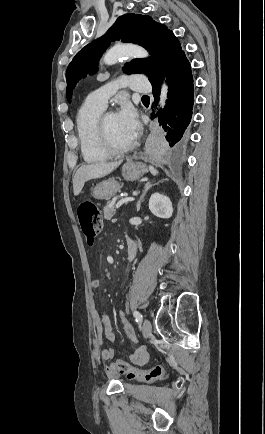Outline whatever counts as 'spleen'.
Here are the masks:
<instances>
[{
	"instance_id": "spleen-1",
	"label": "spleen",
	"mask_w": 265,
	"mask_h": 434,
	"mask_svg": "<svg viewBox=\"0 0 265 434\" xmlns=\"http://www.w3.org/2000/svg\"><path fill=\"white\" fill-rule=\"evenodd\" d=\"M149 172H151L152 176H157L158 172L153 168V166H149Z\"/></svg>"
}]
</instances>
